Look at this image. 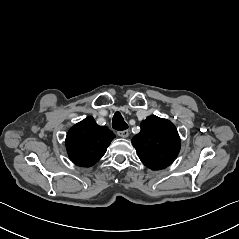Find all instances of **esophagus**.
I'll list each match as a JSON object with an SVG mask.
<instances>
[{
    "instance_id": "34e87169",
    "label": "esophagus",
    "mask_w": 239,
    "mask_h": 239,
    "mask_svg": "<svg viewBox=\"0 0 239 239\" xmlns=\"http://www.w3.org/2000/svg\"><path fill=\"white\" fill-rule=\"evenodd\" d=\"M117 135L120 137L126 138L129 135V131L128 130L118 131Z\"/></svg>"
}]
</instances>
